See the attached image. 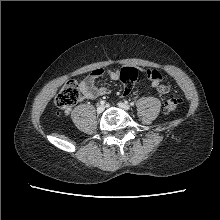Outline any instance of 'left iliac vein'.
Returning <instances> with one entry per match:
<instances>
[{"mask_svg": "<svg viewBox=\"0 0 220 220\" xmlns=\"http://www.w3.org/2000/svg\"><path fill=\"white\" fill-rule=\"evenodd\" d=\"M118 106H119L121 109L125 110V111H128V110L130 109V106H129L127 103H124V102H119V103H118Z\"/></svg>", "mask_w": 220, "mask_h": 220, "instance_id": "obj_1", "label": "left iliac vein"}]
</instances>
